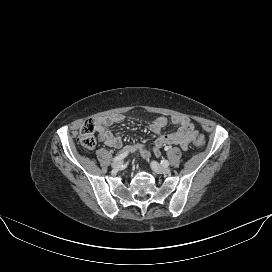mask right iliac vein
Here are the masks:
<instances>
[{"mask_svg":"<svg viewBox=\"0 0 272 272\" xmlns=\"http://www.w3.org/2000/svg\"><path fill=\"white\" fill-rule=\"evenodd\" d=\"M121 164H122V160H118V161H114L111 164V166H112V168L117 169V168H119L121 166Z\"/></svg>","mask_w":272,"mask_h":272,"instance_id":"right-iliac-vein-1","label":"right iliac vein"}]
</instances>
